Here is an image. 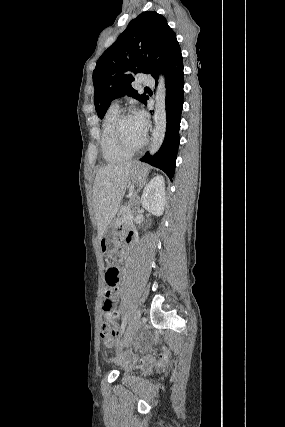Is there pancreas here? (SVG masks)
<instances>
[{"label":"pancreas","instance_id":"1","mask_svg":"<svg viewBox=\"0 0 285 427\" xmlns=\"http://www.w3.org/2000/svg\"><path fill=\"white\" fill-rule=\"evenodd\" d=\"M133 214H134V209L130 204L126 205V206H122L119 210L118 216L116 218V224L117 225H122V224H130L133 221ZM128 215H131L130 218H127Z\"/></svg>","mask_w":285,"mask_h":427}]
</instances>
